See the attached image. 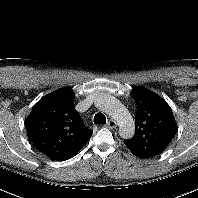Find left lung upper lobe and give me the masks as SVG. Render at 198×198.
<instances>
[{"label": "left lung upper lobe", "instance_id": "obj_1", "mask_svg": "<svg viewBox=\"0 0 198 198\" xmlns=\"http://www.w3.org/2000/svg\"><path fill=\"white\" fill-rule=\"evenodd\" d=\"M130 96L136 101L135 135L124 140L132 153L153 157L161 154L177 132V124L167 102L144 87H136Z\"/></svg>", "mask_w": 198, "mask_h": 198}]
</instances>
